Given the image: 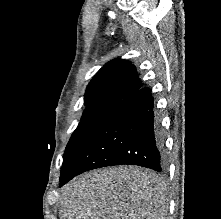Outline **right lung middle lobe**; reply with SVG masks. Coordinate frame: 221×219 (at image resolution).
<instances>
[{
    "label": "right lung middle lobe",
    "mask_w": 221,
    "mask_h": 219,
    "mask_svg": "<svg viewBox=\"0 0 221 219\" xmlns=\"http://www.w3.org/2000/svg\"><path fill=\"white\" fill-rule=\"evenodd\" d=\"M119 101L105 100L86 105L81 121L72 134L65 149L63 160L99 125V123L119 104Z\"/></svg>",
    "instance_id": "right-lung-middle-lobe-1"
}]
</instances>
